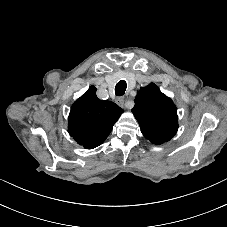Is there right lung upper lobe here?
<instances>
[{
  "label": "right lung upper lobe",
  "instance_id": "1",
  "mask_svg": "<svg viewBox=\"0 0 227 227\" xmlns=\"http://www.w3.org/2000/svg\"><path fill=\"white\" fill-rule=\"evenodd\" d=\"M122 113L117 104L98 99L96 88L90 86L71 107L68 132L79 145L93 149L108 137Z\"/></svg>",
  "mask_w": 227,
  "mask_h": 227
}]
</instances>
